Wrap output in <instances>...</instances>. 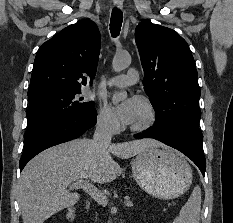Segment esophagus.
I'll use <instances>...</instances> for the list:
<instances>
[{
    "label": "esophagus",
    "instance_id": "34e87169",
    "mask_svg": "<svg viewBox=\"0 0 233 223\" xmlns=\"http://www.w3.org/2000/svg\"><path fill=\"white\" fill-rule=\"evenodd\" d=\"M114 5L116 6V8H122L123 0H114Z\"/></svg>",
    "mask_w": 233,
    "mask_h": 223
}]
</instances>
